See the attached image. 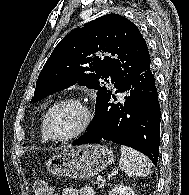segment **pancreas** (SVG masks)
<instances>
[{"label":"pancreas","instance_id":"cf45deb5","mask_svg":"<svg viewBox=\"0 0 189 195\" xmlns=\"http://www.w3.org/2000/svg\"><path fill=\"white\" fill-rule=\"evenodd\" d=\"M98 186L101 188L103 185L102 184H99Z\"/></svg>","mask_w":189,"mask_h":195}]
</instances>
